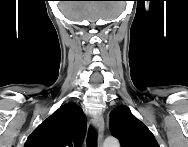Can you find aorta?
Instances as JSON below:
<instances>
[{"mask_svg":"<svg viewBox=\"0 0 188 147\" xmlns=\"http://www.w3.org/2000/svg\"><path fill=\"white\" fill-rule=\"evenodd\" d=\"M104 147H119V141L114 137H108L104 141Z\"/></svg>","mask_w":188,"mask_h":147,"instance_id":"aorta-1","label":"aorta"}]
</instances>
